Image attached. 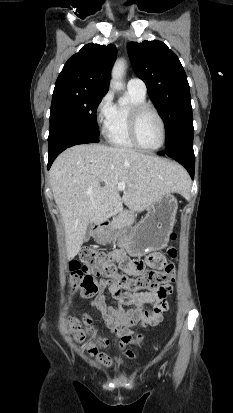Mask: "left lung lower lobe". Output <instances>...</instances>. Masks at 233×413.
<instances>
[{"mask_svg":"<svg viewBox=\"0 0 233 413\" xmlns=\"http://www.w3.org/2000/svg\"><path fill=\"white\" fill-rule=\"evenodd\" d=\"M160 155H167L178 161L186 168L191 178H194L195 156L193 144H179L172 149H166L165 151L160 152Z\"/></svg>","mask_w":233,"mask_h":413,"instance_id":"0a47b994","label":"left lung lower lobe"}]
</instances>
